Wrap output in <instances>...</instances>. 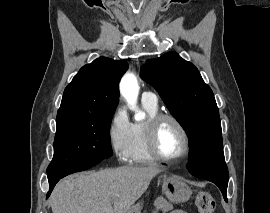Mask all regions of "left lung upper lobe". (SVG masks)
Segmentation results:
<instances>
[{
  "instance_id": "1",
  "label": "left lung upper lobe",
  "mask_w": 270,
  "mask_h": 213,
  "mask_svg": "<svg viewBox=\"0 0 270 213\" xmlns=\"http://www.w3.org/2000/svg\"><path fill=\"white\" fill-rule=\"evenodd\" d=\"M141 78L152 85L174 118L189 133V157L203 179L228 184L219 110L198 69L169 52L146 61Z\"/></svg>"
}]
</instances>
